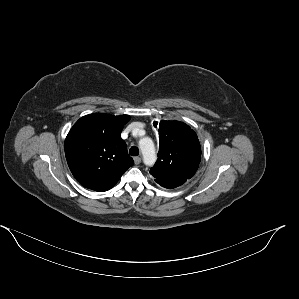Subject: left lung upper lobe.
<instances>
[{"label":"left lung upper lobe","instance_id":"left-lung-upper-lobe-1","mask_svg":"<svg viewBox=\"0 0 299 299\" xmlns=\"http://www.w3.org/2000/svg\"><path fill=\"white\" fill-rule=\"evenodd\" d=\"M200 160L201 147L196 133L183 122L161 120L158 159L150 174L155 179H191Z\"/></svg>","mask_w":299,"mask_h":299}]
</instances>
